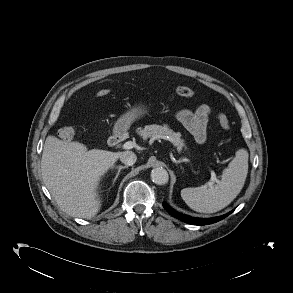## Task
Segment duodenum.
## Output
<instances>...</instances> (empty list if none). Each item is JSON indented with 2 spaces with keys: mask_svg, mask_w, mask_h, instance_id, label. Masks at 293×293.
<instances>
[{
  "mask_svg": "<svg viewBox=\"0 0 293 293\" xmlns=\"http://www.w3.org/2000/svg\"><path fill=\"white\" fill-rule=\"evenodd\" d=\"M126 139V132L123 130H118L114 132L108 139V145L110 147H115L120 145Z\"/></svg>",
  "mask_w": 293,
  "mask_h": 293,
  "instance_id": "410a0bca",
  "label": "duodenum"
}]
</instances>
